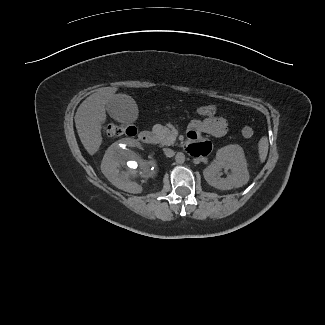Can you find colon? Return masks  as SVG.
Segmentation results:
<instances>
[{"instance_id": "obj_1", "label": "colon", "mask_w": 325, "mask_h": 325, "mask_svg": "<svg viewBox=\"0 0 325 325\" xmlns=\"http://www.w3.org/2000/svg\"><path fill=\"white\" fill-rule=\"evenodd\" d=\"M194 113L202 118L214 117L218 113V108L215 105H203L194 109ZM103 133L108 137L115 136H134L136 128L130 125H121L116 123H107L103 127ZM242 134L245 138H251L254 135V130L250 126H244Z\"/></svg>"}]
</instances>
